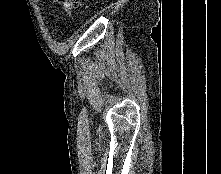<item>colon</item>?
<instances>
[{"mask_svg":"<svg viewBox=\"0 0 221 174\" xmlns=\"http://www.w3.org/2000/svg\"><path fill=\"white\" fill-rule=\"evenodd\" d=\"M58 2L60 3L67 20H72L75 11L81 6V2L78 0H58Z\"/></svg>","mask_w":221,"mask_h":174,"instance_id":"5ec220e1","label":"colon"}]
</instances>
